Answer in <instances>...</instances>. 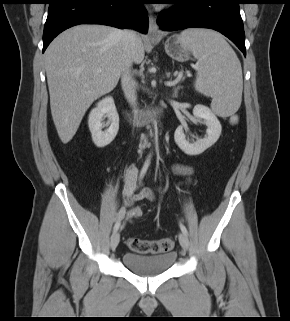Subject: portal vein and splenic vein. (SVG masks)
I'll list each match as a JSON object with an SVG mask.
<instances>
[{
    "label": "portal vein and splenic vein",
    "mask_w": 290,
    "mask_h": 321,
    "mask_svg": "<svg viewBox=\"0 0 290 321\" xmlns=\"http://www.w3.org/2000/svg\"><path fill=\"white\" fill-rule=\"evenodd\" d=\"M180 79H181V77L177 78L174 82H172V83H171V85H173V84H175V83L179 82V81H180Z\"/></svg>",
    "instance_id": "1"
}]
</instances>
